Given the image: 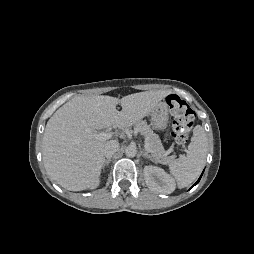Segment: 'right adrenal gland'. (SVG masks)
I'll return each instance as SVG.
<instances>
[{
  "label": "right adrenal gland",
  "mask_w": 254,
  "mask_h": 254,
  "mask_svg": "<svg viewBox=\"0 0 254 254\" xmlns=\"http://www.w3.org/2000/svg\"><path fill=\"white\" fill-rule=\"evenodd\" d=\"M110 162H111V158L107 159V160L104 162L103 169L105 168V166H108Z\"/></svg>",
  "instance_id": "1"
}]
</instances>
